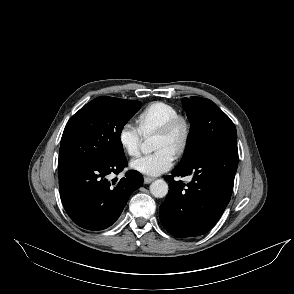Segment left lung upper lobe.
Wrapping results in <instances>:
<instances>
[{"mask_svg":"<svg viewBox=\"0 0 294 294\" xmlns=\"http://www.w3.org/2000/svg\"><path fill=\"white\" fill-rule=\"evenodd\" d=\"M182 103L191 129L178 167L192 164L214 145L237 139L234 123L211 100L193 96Z\"/></svg>","mask_w":294,"mask_h":294,"instance_id":"obj_1","label":"left lung upper lobe"}]
</instances>
